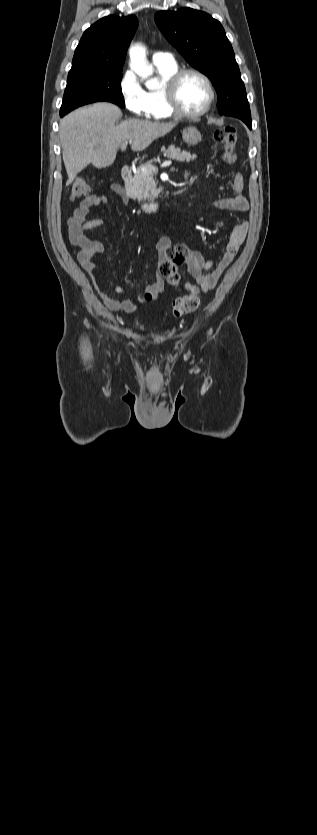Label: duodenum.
Instances as JSON below:
<instances>
[{
	"instance_id": "duodenum-1",
	"label": "duodenum",
	"mask_w": 317,
	"mask_h": 835,
	"mask_svg": "<svg viewBox=\"0 0 317 835\" xmlns=\"http://www.w3.org/2000/svg\"><path fill=\"white\" fill-rule=\"evenodd\" d=\"M132 176V169L129 165H125L121 170V177L124 183H127ZM139 206L142 210L146 212H158L161 209V203L159 202H141Z\"/></svg>"
}]
</instances>
